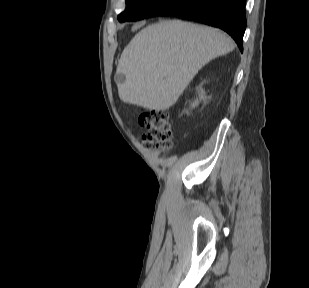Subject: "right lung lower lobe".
<instances>
[{
    "mask_svg": "<svg viewBox=\"0 0 309 288\" xmlns=\"http://www.w3.org/2000/svg\"><path fill=\"white\" fill-rule=\"evenodd\" d=\"M246 0H167L145 18L179 16L226 31L243 52Z\"/></svg>",
    "mask_w": 309,
    "mask_h": 288,
    "instance_id": "1",
    "label": "right lung lower lobe"
}]
</instances>
